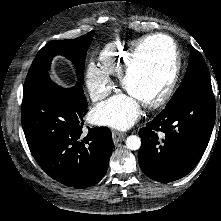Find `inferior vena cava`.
<instances>
[{
	"label": "inferior vena cava",
	"instance_id": "602c4592",
	"mask_svg": "<svg viewBox=\"0 0 221 221\" xmlns=\"http://www.w3.org/2000/svg\"><path fill=\"white\" fill-rule=\"evenodd\" d=\"M108 94L106 92H100L99 90H94L90 92V98L93 102L104 99Z\"/></svg>",
	"mask_w": 221,
	"mask_h": 221
}]
</instances>
